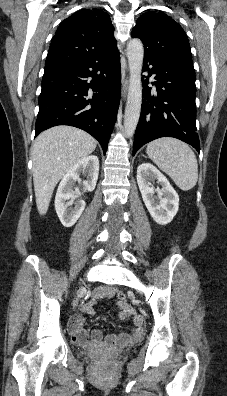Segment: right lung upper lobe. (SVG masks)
<instances>
[{
    "mask_svg": "<svg viewBox=\"0 0 227 396\" xmlns=\"http://www.w3.org/2000/svg\"><path fill=\"white\" fill-rule=\"evenodd\" d=\"M115 48L110 16L102 9H82L60 23L52 39L45 68L87 60Z\"/></svg>",
    "mask_w": 227,
    "mask_h": 396,
    "instance_id": "1",
    "label": "right lung upper lobe"
}]
</instances>
